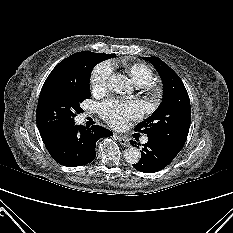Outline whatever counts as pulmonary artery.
I'll use <instances>...</instances> for the list:
<instances>
[{
    "mask_svg": "<svg viewBox=\"0 0 233 233\" xmlns=\"http://www.w3.org/2000/svg\"><path fill=\"white\" fill-rule=\"evenodd\" d=\"M147 141H148V138H147V137H144V138L142 139V143H147Z\"/></svg>",
    "mask_w": 233,
    "mask_h": 233,
    "instance_id": "e3ab8cb5",
    "label": "pulmonary artery"
}]
</instances>
